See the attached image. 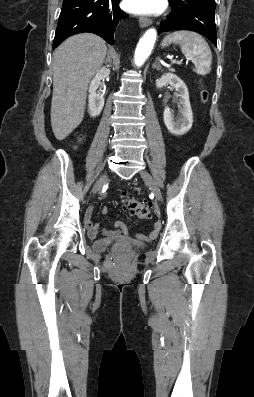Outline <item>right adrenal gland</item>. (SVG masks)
I'll return each instance as SVG.
<instances>
[{
  "label": "right adrenal gland",
  "instance_id": "obj_1",
  "mask_svg": "<svg viewBox=\"0 0 254 397\" xmlns=\"http://www.w3.org/2000/svg\"><path fill=\"white\" fill-rule=\"evenodd\" d=\"M105 63H111V59H110V56H109V52L107 53V58H106Z\"/></svg>",
  "mask_w": 254,
  "mask_h": 397
}]
</instances>
